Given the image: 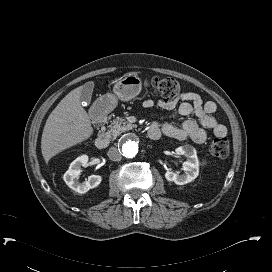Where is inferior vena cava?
Listing matches in <instances>:
<instances>
[{"label": "inferior vena cava", "mask_w": 272, "mask_h": 272, "mask_svg": "<svg viewBox=\"0 0 272 272\" xmlns=\"http://www.w3.org/2000/svg\"><path fill=\"white\" fill-rule=\"evenodd\" d=\"M107 155L112 161H120L122 159L121 152L116 147L109 148Z\"/></svg>", "instance_id": "inferior-vena-cava-1"}]
</instances>
